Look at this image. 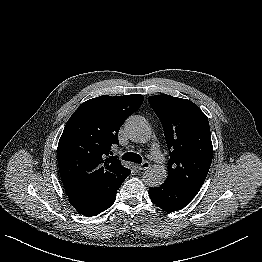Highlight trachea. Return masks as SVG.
<instances>
[{"mask_svg":"<svg viewBox=\"0 0 262 262\" xmlns=\"http://www.w3.org/2000/svg\"><path fill=\"white\" fill-rule=\"evenodd\" d=\"M122 159L126 161H131L134 163H138V164L142 163V157L139 154L133 153V152H127L123 154Z\"/></svg>","mask_w":262,"mask_h":262,"instance_id":"3493384b","label":"trachea"}]
</instances>
